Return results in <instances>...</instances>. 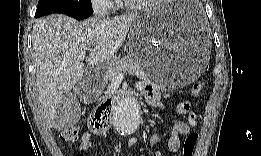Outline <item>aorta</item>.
<instances>
[{
  "instance_id": "762f6f07",
  "label": "aorta",
  "mask_w": 261,
  "mask_h": 156,
  "mask_svg": "<svg viewBox=\"0 0 261 156\" xmlns=\"http://www.w3.org/2000/svg\"><path fill=\"white\" fill-rule=\"evenodd\" d=\"M141 123V109L134 97L122 99L113 113V125L122 136L135 134Z\"/></svg>"
}]
</instances>
